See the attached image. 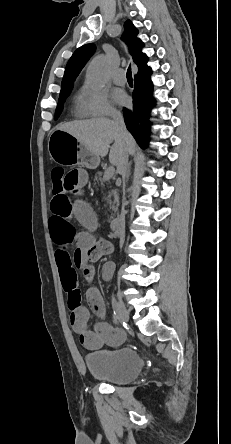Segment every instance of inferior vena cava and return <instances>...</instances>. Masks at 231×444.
Returning <instances> with one entry per match:
<instances>
[{"label": "inferior vena cava", "instance_id": "obj_1", "mask_svg": "<svg viewBox=\"0 0 231 444\" xmlns=\"http://www.w3.org/2000/svg\"><path fill=\"white\" fill-rule=\"evenodd\" d=\"M112 119L119 131V133L121 134V136L123 138H127V130L125 127V123L123 120L122 115L119 112H115L112 114ZM129 147L130 144L126 143L124 145V159L122 160L121 165L118 167V172L119 174L122 175L124 183H125V178L127 177V171H128V158H129ZM123 194H128V189H123ZM127 199L126 198H122L121 199V209H119V226L118 229L121 230L118 234L121 236H127V231H126V223H128V218H126V205H127Z\"/></svg>", "mask_w": 231, "mask_h": 444}]
</instances>
